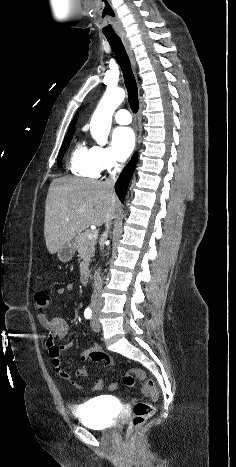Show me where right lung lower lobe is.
I'll return each instance as SVG.
<instances>
[{
  "instance_id": "obj_1",
  "label": "right lung lower lobe",
  "mask_w": 236,
  "mask_h": 467,
  "mask_svg": "<svg viewBox=\"0 0 236 467\" xmlns=\"http://www.w3.org/2000/svg\"><path fill=\"white\" fill-rule=\"evenodd\" d=\"M136 163H137V154H134V156L132 157V160L123 169L122 173L120 174L115 184V191L121 202L124 201L126 189L133 175Z\"/></svg>"
}]
</instances>
